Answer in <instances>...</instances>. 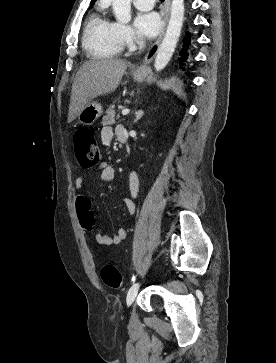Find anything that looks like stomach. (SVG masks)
I'll return each instance as SVG.
<instances>
[{
    "label": "stomach",
    "mask_w": 276,
    "mask_h": 363,
    "mask_svg": "<svg viewBox=\"0 0 276 363\" xmlns=\"http://www.w3.org/2000/svg\"><path fill=\"white\" fill-rule=\"evenodd\" d=\"M132 76L136 82H143L145 79L144 74L133 73ZM102 113V106L97 102L91 101L78 114V121L83 125L90 126L102 115Z\"/></svg>",
    "instance_id": "0dacf381"
}]
</instances>
